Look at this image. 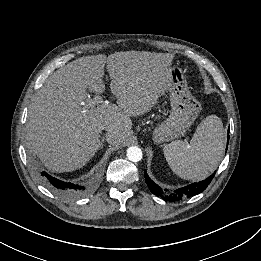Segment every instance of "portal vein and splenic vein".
Returning <instances> with one entry per match:
<instances>
[{
	"label": "portal vein and splenic vein",
	"mask_w": 261,
	"mask_h": 261,
	"mask_svg": "<svg viewBox=\"0 0 261 261\" xmlns=\"http://www.w3.org/2000/svg\"><path fill=\"white\" fill-rule=\"evenodd\" d=\"M101 103H103V99L100 96H96L94 98H88V100H87V104L90 107H95L96 105L101 104Z\"/></svg>",
	"instance_id": "18ae733b"
}]
</instances>
